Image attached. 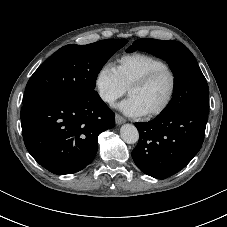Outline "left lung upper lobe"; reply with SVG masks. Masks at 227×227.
Here are the masks:
<instances>
[{"instance_id":"5c2ea615","label":"left lung upper lobe","mask_w":227,"mask_h":227,"mask_svg":"<svg viewBox=\"0 0 227 227\" xmlns=\"http://www.w3.org/2000/svg\"><path fill=\"white\" fill-rule=\"evenodd\" d=\"M146 51L168 62L174 74L173 98L161 115L182 110L208 114L209 88L191 51L182 43L143 38L136 40L127 52Z\"/></svg>"}]
</instances>
